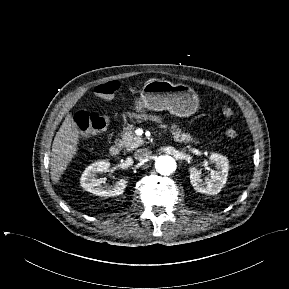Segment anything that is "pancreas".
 <instances>
[{"label": "pancreas", "mask_w": 289, "mask_h": 289, "mask_svg": "<svg viewBox=\"0 0 289 289\" xmlns=\"http://www.w3.org/2000/svg\"><path fill=\"white\" fill-rule=\"evenodd\" d=\"M171 134L176 142L188 143L193 141L190 134L182 133L181 129L177 128L176 125L171 126ZM121 137L120 144L125 147L127 151L134 150L144 143L141 137L134 134L133 125H128L124 128Z\"/></svg>", "instance_id": "pancreas-1"}]
</instances>
